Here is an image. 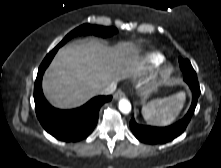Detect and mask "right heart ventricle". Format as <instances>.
Segmentation results:
<instances>
[{"label":"right heart ventricle","instance_id":"right-heart-ventricle-1","mask_svg":"<svg viewBox=\"0 0 221 168\" xmlns=\"http://www.w3.org/2000/svg\"><path fill=\"white\" fill-rule=\"evenodd\" d=\"M165 61V57L157 52L150 53L144 58V65L146 69L152 70L161 66Z\"/></svg>","mask_w":221,"mask_h":168}]
</instances>
